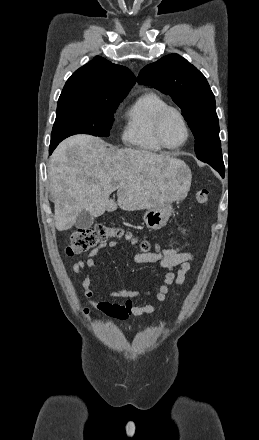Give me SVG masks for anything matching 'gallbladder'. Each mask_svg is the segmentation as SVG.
Instances as JSON below:
<instances>
[{"label": "gallbladder", "instance_id": "bac80fb5", "mask_svg": "<svg viewBox=\"0 0 259 440\" xmlns=\"http://www.w3.org/2000/svg\"><path fill=\"white\" fill-rule=\"evenodd\" d=\"M93 223L94 217L86 210H82L76 219L75 226L78 229L86 230L89 229Z\"/></svg>", "mask_w": 259, "mask_h": 440}]
</instances>
